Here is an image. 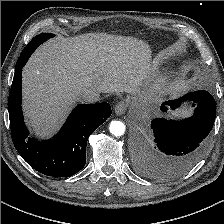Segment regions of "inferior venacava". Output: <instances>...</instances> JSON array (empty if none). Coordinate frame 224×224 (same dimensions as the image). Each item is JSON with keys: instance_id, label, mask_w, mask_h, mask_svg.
I'll return each mask as SVG.
<instances>
[{"instance_id": "1", "label": "inferior vena cava", "mask_w": 224, "mask_h": 224, "mask_svg": "<svg viewBox=\"0 0 224 224\" xmlns=\"http://www.w3.org/2000/svg\"><path fill=\"white\" fill-rule=\"evenodd\" d=\"M100 93L93 90H85L79 95V99L84 103H94L99 100Z\"/></svg>"}]
</instances>
